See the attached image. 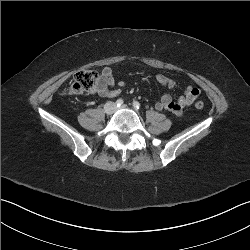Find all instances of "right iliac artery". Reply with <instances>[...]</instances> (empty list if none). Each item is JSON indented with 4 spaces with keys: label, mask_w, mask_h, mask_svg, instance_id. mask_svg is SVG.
<instances>
[{
    "label": "right iliac artery",
    "mask_w": 250,
    "mask_h": 250,
    "mask_svg": "<svg viewBox=\"0 0 250 250\" xmlns=\"http://www.w3.org/2000/svg\"><path fill=\"white\" fill-rule=\"evenodd\" d=\"M123 100L122 99H118L117 101H116V105L118 106V107H120L121 105H123Z\"/></svg>",
    "instance_id": "obj_1"
}]
</instances>
